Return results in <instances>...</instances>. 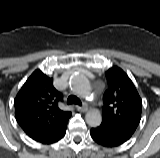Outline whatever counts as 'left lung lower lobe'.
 Masks as SVG:
<instances>
[{"instance_id": "left-lung-lower-lobe-1", "label": "left lung lower lobe", "mask_w": 160, "mask_h": 158, "mask_svg": "<svg viewBox=\"0 0 160 158\" xmlns=\"http://www.w3.org/2000/svg\"><path fill=\"white\" fill-rule=\"evenodd\" d=\"M91 137L102 146L115 147L126 142L131 136L101 124L91 129Z\"/></svg>"}]
</instances>
